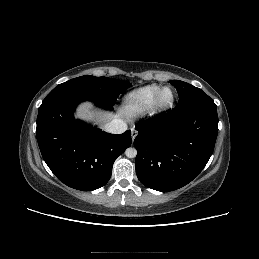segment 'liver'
<instances>
[{
    "mask_svg": "<svg viewBox=\"0 0 259 259\" xmlns=\"http://www.w3.org/2000/svg\"><path fill=\"white\" fill-rule=\"evenodd\" d=\"M77 116L80 119L86 120V121H94L95 120V113L93 110V106L89 103L81 105L77 110ZM97 121H110L113 118L112 114L103 115L100 117V115L96 116Z\"/></svg>",
    "mask_w": 259,
    "mask_h": 259,
    "instance_id": "6515ba94",
    "label": "liver"
}]
</instances>
